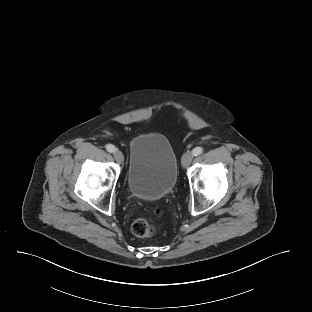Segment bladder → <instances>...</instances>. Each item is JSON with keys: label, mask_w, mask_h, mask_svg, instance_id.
Listing matches in <instances>:
<instances>
[{"label": "bladder", "mask_w": 312, "mask_h": 312, "mask_svg": "<svg viewBox=\"0 0 312 312\" xmlns=\"http://www.w3.org/2000/svg\"><path fill=\"white\" fill-rule=\"evenodd\" d=\"M178 176L177 158L169 140L162 134H143L129 144L127 187L142 200L166 197Z\"/></svg>", "instance_id": "bladder-1"}]
</instances>
